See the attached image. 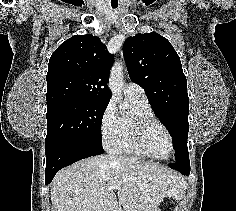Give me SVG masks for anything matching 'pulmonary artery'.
Instances as JSON below:
<instances>
[{
    "mask_svg": "<svg viewBox=\"0 0 236 211\" xmlns=\"http://www.w3.org/2000/svg\"><path fill=\"white\" fill-rule=\"evenodd\" d=\"M124 95L127 99L147 102L146 94L141 86L135 83H127L124 87Z\"/></svg>",
    "mask_w": 236,
    "mask_h": 211,
    "instance_id": "1",
    "label": "pulmonary artery"
}]
</instances>
